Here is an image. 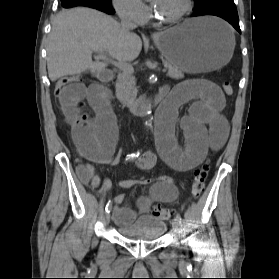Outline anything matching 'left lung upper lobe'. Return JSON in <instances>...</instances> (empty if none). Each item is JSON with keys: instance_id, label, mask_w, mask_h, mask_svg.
I'll return each mask as SVG.
<instances>
[{"instance_id": "1", "label": "left lung upper lobe", "mask_w": 279, "mask_h": 279, "mask_svg": "<svg viewBox=\"0 0 279 279\" xmlns=\"http://www.w3.org/2000/svg\"><path fill=\"white\" fill-rule=\"evenodd\" d=\"M194 1H195L196 6H197V5H199L200 3H202L205 0H194Z\"/></svg>"}]
</instances>
